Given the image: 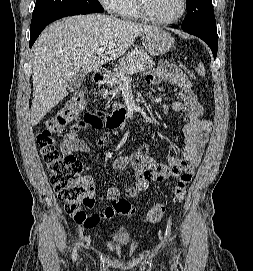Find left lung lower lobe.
<instances>
[{
  "instance_id": "1",
  "label": "left lung lower lobe",
  "mask_w": 253,
  "mask_h": 271,
  "mask_svg": "<svg viewBox=\"0 0 253 271\" xmlns=\"http://www.w3.org/2000/svg\"><path fill=\"white\" fill-rule=\"evenodd\" d=\"M182 29L184 32L195 35L201 38L204 42H206L210 49L212 50L214 59L216 58L218 47V35L216 26H203L196 27L193 29H185L182 27Z\"/></svg>"
}]
</instances>
